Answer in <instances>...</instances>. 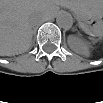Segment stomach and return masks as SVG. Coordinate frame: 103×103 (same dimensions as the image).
Here are the masks:
<instances>
[{"instance_id": "0dacf381", "label": "stomach", "mask_w": 103, "mask_h": 103, "mask_svg": "<svg viewBox=\"0 0 103 103\" xmlns=\"http://www.w3.org/2000/svg\"><path fill=\"white\" fill-rule=\"evenodd\" d=\"M74 12L79 26L86 31L98 32L102 19V3L98 0L72 1Z\"/></svg>"}]
</instances>
